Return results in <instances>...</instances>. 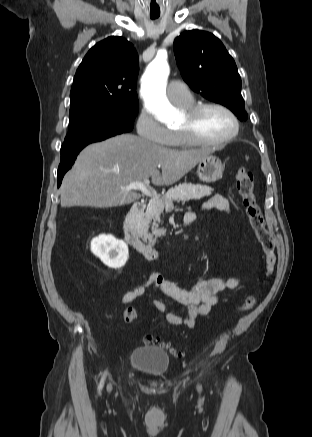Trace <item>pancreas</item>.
I'll list each match as a JSON object with an SVG mask.
<instances>
[{
	"label": "pancreas",
	"instance_id": "cf45deb5",
	"mask_svg": "<svg viewBox=\"0 0 312 437\" xmlns=\"http://www.w3.org/2000/svg\"><path fill=\"white\" fill-rule=\"evenodd\" d=\"M212 191V188L201 184L182 183L170 188L163 197L151 200L140 222V237L153 246L158 237L166 234L164 228H159V223L161 222L160 216L167 206L173 205L174 200L181 202L199 200L210 196ZM150 228L152 233H149Z\"/></svg>",
	"mask_w": 312,
	"mask_h": 437
}]
</instances>
